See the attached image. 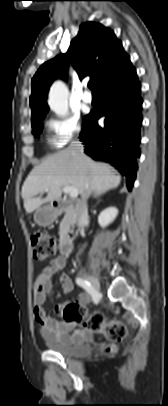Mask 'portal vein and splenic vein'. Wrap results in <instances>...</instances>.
Masks as SVG:
<instances>
[{"label": "portal vein and splenic vein", "mask_w": 168, "mask_h": 406, "mask_svg": "<svg viewBox=\"0 0 168 406\" xmlns=\"http://www.w3.org/2000/svg\"><path fill=\"white\" fill-rule=\"evenodd\" d=\"M63 191L65 193H68L70 195V197H72V198H75L78 196V190L74 187L65 186V187H63Z\"/></svg>", "instance_id": "obj_1"}]
</instances>
